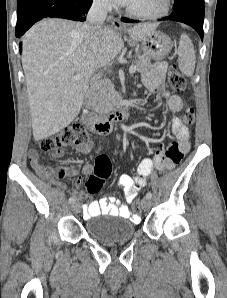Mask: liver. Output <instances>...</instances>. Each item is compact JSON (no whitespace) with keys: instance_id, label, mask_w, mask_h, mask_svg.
<instances>
[{"instance_id":"liver-1","label":"liver","mask_w":227,"mask_h":298,"mask_svg":"<svg viewBox=\"0 0 227 298\" xmlns=\"http://www.w3.org/2000/svg\"><path fill=\"white\" fill-rule=\"evenodd\" d=\"M157 26L144 23L129 29L130 44L142 41ZM123 46L119 33L108 27L91 37L81 23L58 18L44 19L25 34L22 66L36 141L58 133L77 117L89 79L111 64Z\"/></svg>"}]
</instances>
